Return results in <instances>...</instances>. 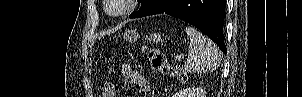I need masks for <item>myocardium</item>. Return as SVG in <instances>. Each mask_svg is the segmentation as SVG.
Masks as SVG:
<instances>
[{
    "label": "myocardium",
    "mask_w": 302,
    "mask_h": 97,
    "mask_svg": "<svg viewBox=\"0 0 302 97\" xmlns=\"http://www.w3.org/2000/svg\"><path fill=\"white\" fill-rule=\"evenodd\" d=\"M112 2H113V0L104 1L105 12L111 17L118 18V17H123V16L129 15L130 13H132L136 7L138 0H122L124 7L121 11H118V12H113L111 10Z\"/></svg>",
    "instance_id": "obj_1"
}]
</instances>
